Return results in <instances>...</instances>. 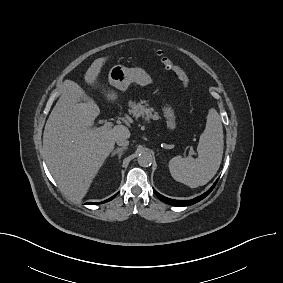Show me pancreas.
<instances>
[{
	"mask_svg": "<svg viewBox=\"0 0 283 283\" xmlns=\"http://www.w3.org/2000/svg\"><path fill=\"white\" fill-rule=\"evenodd\" d=\"M129 107L131 108L129 109V113L135 118L142 117L145 120H158L160 118L158 113L152 107H149L146 101H141L138 103L135 101H130Z\"/></svg>",
	"mask_w": 283,
	"mask_h": 283,
	"instance_id": "pancreas-1",
	"label": "pancreas"
}]
</instances>
